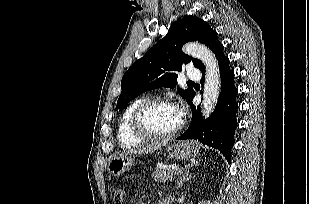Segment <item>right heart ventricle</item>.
I'll list each match as a JSON object with an SVG mask.
<instances>
[{
	"label": "right heart ventricle",
	"mask_w": 309,
	"mask_h": 204,
	"mask_svg": "<svg viewBox=\"0 0 309 204\" xmlns=\"http://www.w3.org/2000/svg\"><path fill=\"white\" fill-rule=\"evenodd\" d=\"M146 99V97H140L132 101L121 116L118 125L117 137L120 146L123 148L137 146L142 142V139L137 137L132 132L130 128V120L135 108Z\"/></svg>",
	"instance_id": "right-heart-ventricle-1"
}]
</instances>
